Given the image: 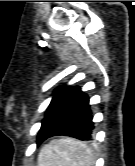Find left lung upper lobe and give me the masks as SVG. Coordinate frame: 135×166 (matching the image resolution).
I'll return each mask as SVG.
<instances>
[{
	"label": "left lung upper lobe",
	"instance_id": "left-lung-upper-lobe-1",
	"mask_svg": "<svg viewBox=\"0 0 135 166\" xmlns=\"http://www.w3.org/2000/svg\"><path fill=\"white\" fill-rule=\"evenodd\" d=\"M74 87L72 86H61L59 88H57L54 93H53V98H52V101L46 111V114H45V118L47 116H49L52 112V109L54 108V106L60 101V100H63L67 95L68 93L73 89ZM44 118V119H45ZM43 119V120H44Z\"/></svg>",
	"mask_w": 135,
	"mask_h": 166
}]
</instances>
